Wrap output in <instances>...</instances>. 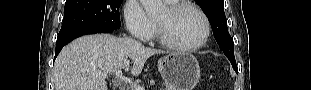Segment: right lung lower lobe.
I'll return each instance as SVG.
<instances>
[{
  "mask_svg": "<svg viewBox=\"0 0 311 90\" xmlns=\"http://www.w3.org/2000/svg\"><path fill=\"white\" fill-rule=\"evenodd\" d=\"M113 28H90V29H83L78 32L72 33L66 37H63L61 39H57L56 42V52H55V58L61 51L62 47L72 41L73 39L80 37L82 35H87V34H95V33H109L112 32ZM54 58V60H55Z\"/></svg>",
  "mask_w": 311,
  "mask_h": 90,
  "instance_id": "98d812e1",
  "label": "right lung lower lobe"
}]
</instances>
